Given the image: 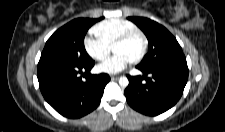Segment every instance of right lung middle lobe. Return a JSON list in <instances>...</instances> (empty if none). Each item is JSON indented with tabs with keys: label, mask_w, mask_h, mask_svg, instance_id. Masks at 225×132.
<instances>
[{
	"label": "right lung middle lobe",
	"mask_w": 225,
	"mask_h": 132,
	"mask_svg": "<svg viewBox=\"0 0 225 132\" xmlns=\"http://www.w3.org/2000/svg\"><path fill=\"white\" fill-rule=\"evenodd\" d=\"M99 19L78 18L67 23L48 39L40 60H57L85 65L93 60L84 47L87 30Z\"/></svg>",
	"instance_id": "1"
}]
</instances>
